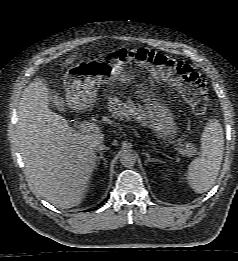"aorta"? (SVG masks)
<instances>
[{
	"label": "aorta",
	"instance_id": "obj_1",
	"mask_svg": "<svg viewBox=\"0 0 238 261\" xmlns=\"http://www.w3.org/2000/svg\"><path fill=\"white\" fill-rule=\"evenodd\" d=\"M120 162L124 167L130 168L136 163V156L132 152H123L120 158Z\"/></svg>",
	"mask_w": 238,
	"mask_h": 261
}]
</instances>
